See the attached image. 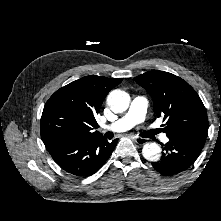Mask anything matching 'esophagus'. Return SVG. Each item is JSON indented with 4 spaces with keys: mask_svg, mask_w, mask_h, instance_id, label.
I'll list each match as a JSON object with an SVG mask.
<instances>
[{
    "mask_svg": "<svg viewBox=\"0 0 221 221\" xmlns=\"http://www.w3.org/2000/svg\"><path fill=\"white\" fill-rule=\"evenodd\" d=\"M133 140L139 145H144L147 143V139L142 137H134Z\"/></svg>",
    "mask_w": 221,
    "mask_h": 221,
    "instance_id": "esophagus-1",
    "label": "esophagus"
}]
</instances>
